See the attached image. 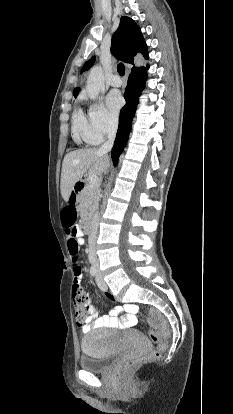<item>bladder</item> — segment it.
Masks as SVG:
<instances>
[{
	"label": "bladder",
	"mask_w": 233,
	"mask_h": 414,
	"mask_svg": "<svg viewBox=\"0 0 233 414\" xmlns=\"http://www.w3.org/2000/svg\"><path fill=\"white\" fill-rule=\"evenodd\" d=\"M131 332L142 346L148 347V341L142 334ZM81 349L79 366L82 370L93 373L109 369L121 352L113 333L102 329L88 332L82 340Z\"/></svg>",
	"instance_id": "obj_1"
}]
</instances>
